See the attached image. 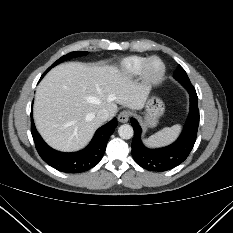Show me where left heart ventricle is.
Wrapping results in <instances>:
<instances>
[{"label":"left heart ventricle","instance_id":"obj_1","mask_svg":"<svg viewBox=\"0 0 233 233\" xmlns=\"http://www.w3.org/2000/svg\"><path fill=\"white\" fill-rule=\"evenodd\" d=\"M161 68V65L158 61H153L151 64H150V70L152 73H157Z\"/></svg>","mask_w":233,"mask_h":233}]
</instances>
